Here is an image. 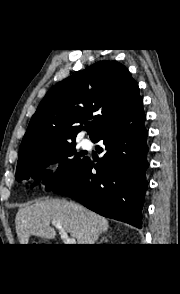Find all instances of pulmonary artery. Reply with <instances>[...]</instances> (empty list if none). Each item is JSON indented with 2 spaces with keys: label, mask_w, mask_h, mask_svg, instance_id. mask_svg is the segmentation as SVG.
<instances>
[{
  "label": "pulmonary artery",
  "mask_w": 180,
  "mask_h": 294,
  "mask_svg": "<svg viewBox=\"0 0 180 294\" xmlns=\"http://www.w3.org/2000/svg\"><path fill=\"white\" fill-rule=\"evenodd\" d=\"M89 143H90V141L87 140V139H85V140H83L82 145H83V146H88Z\"/></svg>",
  "instance_id": "obj_1"
}]
</instances>
